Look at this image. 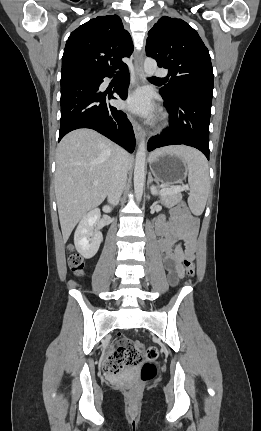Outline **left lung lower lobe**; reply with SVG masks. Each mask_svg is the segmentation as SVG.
I'll use <instances>...</instances> for the list:
<instances>
[{
	"label": "left lung lower lobe",
	"mask_w": 261,
	"mask_h": 431,
	"mask_svg": "<svg viewBox=\"0 0 261 431\" xmlns=\"http://www.w3.org/2000/svg\"><path fill=\"white\" fill-rule=\"evenodd\" d=\"M169 113V127L159 136L149 139L152 151L168 145H188L199 149L209 160V121L212 93L183 90L173 97L159 91Z\"/></svg>",
	"instance_id": "obj_1"
}]
</instances>
